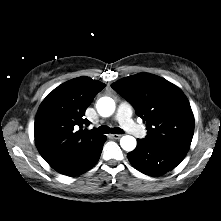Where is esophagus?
I'll return each instance as SVG.
<instances>
[{"label": "esophagus", "instance_id": "1", "mask_svg": "<svg viewBox=\"0 0 221 221\" xmlns=\"http://www.w3.org/2000/svg\"><path fill=\"white\" fill-rule=\"evenodd\" d=\"M111 137H113L114 139H119L120 137H122L121 134H112Z\"/></svg>", "mask_w": 221, "mask_h": 221}]
</instances>
